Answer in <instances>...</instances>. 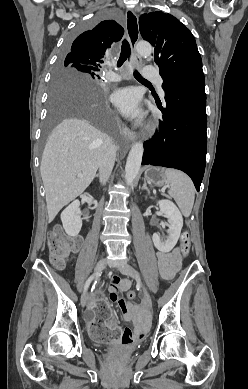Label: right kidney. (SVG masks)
<instances>
[{"label":"right kidney","mask_w":248,"mask_h":389,"mask_svg":"<svg viewBox=\"0 0 248 389\" xmlns=\"http://www.w3.org/2000/svg\"><path fill=\"white\" fill-rule=\"evenodd\" d=\"M79 206L80 202L75 200L61 213L63 228L65 232L72 237L77 236L82 227Z\"/></svg>","instance_id":"ca27d5eb"}]
</instances>
